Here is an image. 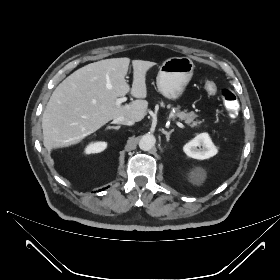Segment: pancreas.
<instances>
[{"label": "pancreas", "mask_w": 280, "mask_h": 280, "mask_svg": "<svg viewBox=\"0 0 280 280\" xmlns=\"http://www.w3.org/2000/svg\"><path fill=\"white\" fill-rule=\"evenodd\" d=\"M161 106H164V103H160ZM168 108H172L171 105H168ZM171 117L173 119L179 118L180 120H183L186 124L191 126L192 128H199L202 124V121L195 120L198 116L193 112H187V110L181 111L180 107L177 106L175 108V111L172 112Z\"/></svg>", "instance_id": "cf45deb5"}]
</instances>
